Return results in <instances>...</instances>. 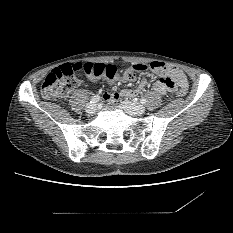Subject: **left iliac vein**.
Listing matches in <instances>:
<instances>
[{"label": "left iliac vein", "instance_id": "left-iliac-vein-1", "mask_svg": "<svg viewBox=\"0 0 233 233\" xmlns=\"http://www.w3.org/2000/svg\"><path fill=\"white\" fill-rule=\"evenodd\" d=\"M121 105L123 106L125 111L130 115H141L146 110L143 105L127 100L121 101Z\"/></svg>", "mask_w": 233, "mask_h": 233}]
</instances>
